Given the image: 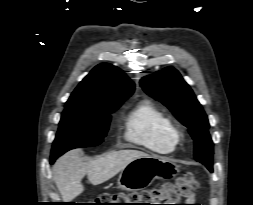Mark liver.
Instances as JSON below:
<instances>
[{
    "label": "liver",
    "instance_id": "1",
    "mask_svg": "<svg viewBox=\"0 0 253 205\" xmlns=\"http://www.w3.org/2000/svg\"><path fill=\"white\" fill-rule=\"evenodd\" d=\"M145 156L149 155L138 150H120L84 162L80 151L75 149L55 162L53 176L62 199L70 202L84 191L81 181L86 174L92 185H99L121 172L134 159Z\"/></svg>",
    "mask_w": 253,
    "mask_h": 205
}]
</instances>
